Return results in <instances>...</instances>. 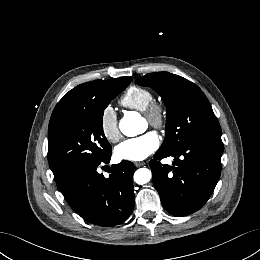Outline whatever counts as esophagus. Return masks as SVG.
<instances>
[{"label": "esophagus", "instance_id": "1", "mask_svg": "<svg viewBox=\"0 0 260 260\" xmlns=\"http://www.w3.org/2000/svg\"><path fill=\"white\" fill-rule=\"evenodd\" d=\"M134 164L136 167H141V166L145 165L144 162H135Z\"/></svg>", "mask_w": 260, "mask_h": 260}]
</instances>
